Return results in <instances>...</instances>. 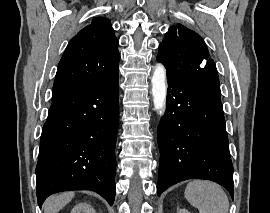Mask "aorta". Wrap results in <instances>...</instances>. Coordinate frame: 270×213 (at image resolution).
Listing matches in <instances>:
<instances>
[{
  "label": "aorta",
  "instance_id": "obj_1",
  "mask_svg": "<svg viewBox=\"0 0 270 213\" xmlns=\"http://www.w3.org/2000/svg\"><path fill=\"white\" fill-rule=\"evenodd\" d=\"M151 84L154 108L161 111L165 106L167 95L166 70L162 64H157L154 67Z\"/></svg>",
  "mask_w": 270,
  "mask_h": 213
}]
</instances>
